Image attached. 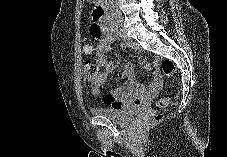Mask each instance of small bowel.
<instances>
[{
    "label": "small bowel",
    "mask_w": 227,
    "mask_h": 157,
    "mask_svg": "<svg viewBox=\"0 0 227 157\" xmlns=\"http://www.w3.org/2000/svg\"><path fill=\"white\" fill-rule=\"evenodd\" d=\"M98 45L94 48L90 44L83 47V52L90 55L95 52L96 64L103 72L97 76L93 87L92 96L97 103L106 104L111 108H136L148 104L159 92L161 86V79L158 72L154 71L152 74V83L148 90L139 84L135 79L134 65L131 62L124 64L123 76L125 79V88H118L112 93L102 94V88L106 83L109 74L115 69V64L109 61L106 56L112 50L113 37L111 33H101L98 37ZM127 45H125L126 47ZM141 64L148 68V64L144 59H141Z\"/></svg>",
    "instance_id": "1"
}]
</instances>
